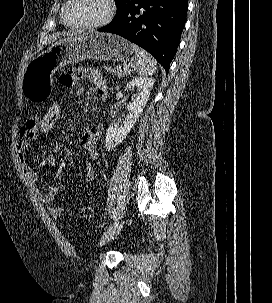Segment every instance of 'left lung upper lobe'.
Wrapping results in <instances>:
<instances>
[{
	"mask_svg": "<svg viewBox=\"0 0 272 303\" xmlns=\"http://www.w3.org/2000/svg\"><path fill=\"white\" fill-rule=\"evenodd\" d=\"M117 7H118V13L115 18H118L126 13V11L132 7L137 0H115Z\"/></svg>",
	"mask_w": 272,
	"mask_h": 303,
	"instance_id": "left-lung-upper-lobe-1",
	"label": "left lung upper lobe"
}]
</instances>
